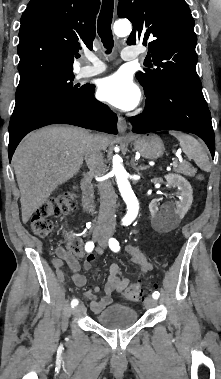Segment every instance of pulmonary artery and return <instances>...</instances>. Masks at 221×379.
<instances>
[{
  "label": "pulmonary artery",
  "instance_id": "obj_1",
  "mask_svg": "<svg viewBox=\"0 0 221 379\" xmlns=\"http://www.w3.org/2000/svg\"><path fill=\"white\" fill-rule=\"evenodd\" d=\"M121 57L126 61L134 60L138 57V51L132 48H125L121 53ZM86 58L91 64L81 68L80 75L82 77L98 75L105 71L106 67L98 57L93 54H89Z\"/></svg>",
  "mask_w": 221,
  "mask_h": 379
}]
</instances>
